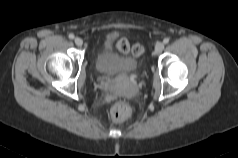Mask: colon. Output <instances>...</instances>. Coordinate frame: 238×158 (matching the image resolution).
<instances>
[{
    "label": "colon",
    "instance_id": "obj_1",
    "mask_svg": "<svg viewBox=\"0 0 238 158\" xmlns=\"http://www.w3.org/2000/svg\"><path fill=\"white\" fill-rule=\"evenodd\" d=\"M116 48L123 54L132 53L134 56H140L143 52V47L140 44L131 45L127 39H120L116 44ZM130 114L131 107L123 101L114 103L110 111L112 120L116 122L126 120Z\"/></svg>",
    "mask_w": 238,
    "mask_h": 158
}]
</instances>
